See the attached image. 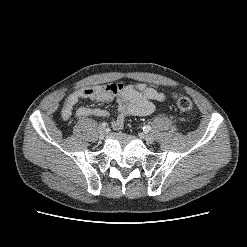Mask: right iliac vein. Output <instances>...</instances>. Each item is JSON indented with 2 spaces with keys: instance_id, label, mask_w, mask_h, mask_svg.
I'll use <instances>...</instances> for the list:
<instances>
[{
  "instance_id": "right-iliac-vein-1",
  "label": "right iliac vein",
  "mask_w": 247,
  "mask_h": 247,
  "mask_svg": "<svg viewBox=\"0 0 247 247\" xmlns=\"http://www.w3.org/2000/svg\"><path fill=\"white\" fill-rule=\"evenodd\" d=\"M105 134H106L105 128L102 127V126H100L99 127V135H100V138H104Z\"/></svg>"
}]
</instances>
